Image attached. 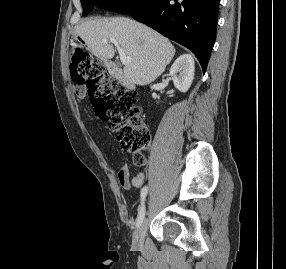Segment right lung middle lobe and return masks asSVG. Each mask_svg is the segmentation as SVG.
<instances>
[{
	"label": "right lung middle lobe",
	"instance_id": "1",
	"mask_svg": "<svg viewBox=\"0 0 286 269\" xmlns=\"http://www.w3.org/2000/svg\"><path fill=\"white\" fill-rule=\"evenodd\" d=\"M157 0H81L83 15H87L95 5L122 14L133 15L150 8Z\"/></svg>",
	"mask_w": 286,
	"mask_h": 269
}]
</instances>
